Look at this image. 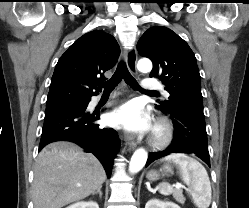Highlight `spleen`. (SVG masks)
I'll return each mask as SVG.
<instances>
[{
  "mask_svg": "<svg viewBox=\"0 0 249 208\" xmlns=\"http://www.w3.org/2000/svg\"><path fill=\"white\" fill-rule=\"evenodd\" d=\"M162 161H172L178 165L181 179L189 186V194L198 208H208L211 203V184L204 166L196 159L182 153L168 155ZM162 195H169L173 188L168 183L159 185Z\"/></svg>",
  "mask_w": 249,
  "mask_h": 208,
  "instance_id": "obj_1",
  "label": "spleen"
}]
</instances>
